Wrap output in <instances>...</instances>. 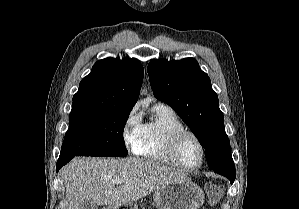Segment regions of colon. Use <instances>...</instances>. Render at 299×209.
<instances>
[{"mask_svg": "<svg viewBox=\"0 0 299 209\" xmlns=\"http://www.w3.org/2000/svg\"><path fill=\"white\" fill-rule=\"evenodd\" d=\"M208 200L211 204H216L220 201L225 193V186L218 183H207L205 185Z\"/></svg>", "mask_w": 299, "mask_h": 209, "instance_id": "colon-1", "label": "colon"}]
</instances>
